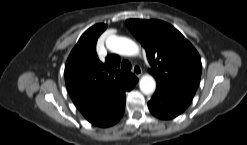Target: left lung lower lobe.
I'll return each instance as SVG.
<instances>
[{
    "mask_svg": "<svg viewBox=\"0 0 247 145\" xmlns=\"http://www.w3.org/2000/svg\"><path fill=\"white\" fill-rule=\"evenodd\" d=\"M193 97L185 95L163 84H157L152 99L148 102L150 112L159 119H172L180 115Z\"/></svg>",
    "mask_w": 247,
    "mask_h": 145,
    "instance_id": "obj_1",
    "label": "left lung lower lobe"
}]
</instances>
